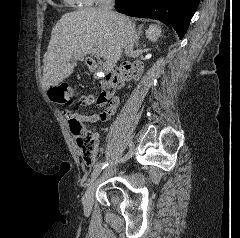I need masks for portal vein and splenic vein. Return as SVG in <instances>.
I'll return each mask as SVG.
<instances>
[{
	"mask_svg": "<svg viewBox=\"0 0 240 238\" xmlns=\"http://www.w3.org/2000/svg\"><path fill=\"white\" fill-rule=\"evenodd\" d=\"M85 51L87 54H97L98 57L100 56V54L97 52V50L92 45L87 46L85 48ZM103 66H104V68L109 69V68L113 67V64L109 61H105Z\"/></svg>",
	"mask_w": 240,
	"mask_h": 238,
	"instance_id": "obj_1",
	"label": "portal vein and splenic vein"
}]
</instances>
